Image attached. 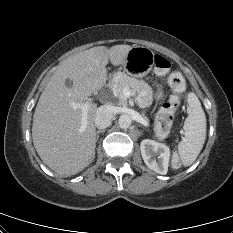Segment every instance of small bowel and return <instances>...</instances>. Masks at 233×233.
I'll use <instances>...</instances> for the list:
<instances>
[{
    "label": "small bowel",
    "instance_id": "small-bowel-1",
    "mask_svg": "<svg viewBox=\"0 0 233 233\" xmlns=\"http://www.w3.org/2000/svg\"><path fill=\"white\" fill-rule=\"evenodd\" d=\"M162 96H163L162 86H158V88L156 90V97L161 98Z\"/></svg>",
    "mask_w": 233,
    "mask_h": 233
}]
</instances>
